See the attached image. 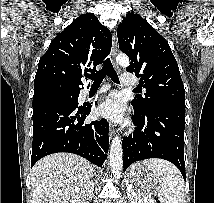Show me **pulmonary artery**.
Listing matches in <instances>:
<instances>
[{
  "label": "pulmonary artery",
  "instance_id": "pulmonary-artery-1",
  "mask_svg": "<svg viewBox=\"0 0 214 203\" xmlns=\"http://www.w3.org/2000/svg\"><path fill=\"white\" fill-rule=\"evenodd\" d=\"M121 82H122L123 85L129 86V87L135 86L137 84L136 79H134L132 77L131 73H124V74H122V76H121ZM107 89H108V86L104 85V86H102L100 88L99 92H103V91H105Z\"/></svg>",
  "mask_w": 214,
  "mask_h": 203
}]
</instances>
